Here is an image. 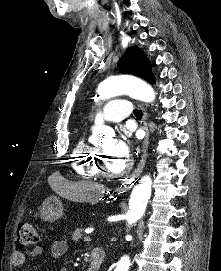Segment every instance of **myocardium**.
I'll return each mask as SVG.
<instances>
[{"instance_id": "obj_1", "label": "myocardium", "mask_w": 221, "mask_h": 271, "mask_svg": "<svg viewBox=\"0 0 221 271\" xmlns=\"http://www.w3.org/2000/svg\"><path fill=\"white\" fill-rule=\"evenodd\" d=\"M135 158H129L128 161H124V165L119 166V170H112L111 163H107V158H102L101 161H99V169L103 170V178H107L109 176V179H117V176L120 175H126L127 172H132L136 169L135 165H131L132 163H135Z\"/></svg>"}]
</instances>
